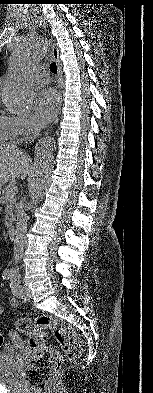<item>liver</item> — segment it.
Listing matches in <instances>:
<instances>
[{"label": "liver", "mask_w": 153, "mask_h": 393, "mask_svg": "<svg viewBox=\"0 0 153 393\" xmlns=\"http://www.w3.org/2000/svg\"><path fill=\"white\" fill-rule=\"evenodd\" d=\"M31 171V158L14 144L0 145V188L17 178L22 180Z\"/></svg>", "instance_id": "liver-1"}]
</instances>
